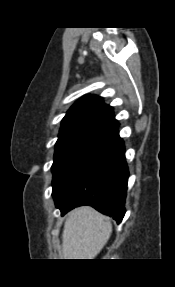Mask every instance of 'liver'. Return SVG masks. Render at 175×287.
<instances>
[{
  "instance_id": "obj_1",
  "label": "liver",
  "mask_w": 175,
  "mask_h": 287,
  "mask_svg": "<svg viewBox=\"0 0 175 287\" xmlns=\"http://www.w3.org/2000/svg\"><path fill=\"white\" fill-rule=\"evenodd\" d=\"M112 233V224L91 207H80L68 214L62 233L64 259H94Z\"/></svg>"
}]
</instances>
